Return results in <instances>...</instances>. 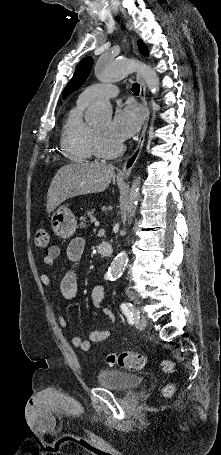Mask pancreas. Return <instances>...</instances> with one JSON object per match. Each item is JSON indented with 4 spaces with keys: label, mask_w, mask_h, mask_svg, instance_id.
<instances>
[{
    "label": "pancreas",
    "mask_w": 221,
    "mask_h": 455,
    "mask_svg": "<svg viewBox=\"0 0 221 455\" xmlns=\"http://www.w3.org/2000/svg\"><path fill=\"white\" fill-rule=\"evenodd\" d=\"M94 212H95V209L87 211L86 214L80 218V223H79L80 228L87 227L89 224L88 220H90L91 222H94L96 220V218L94 216Z\"/></svg>",
    "instance_id": "pancreas-1"
}]
</instances>
